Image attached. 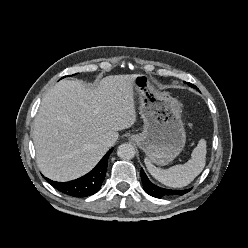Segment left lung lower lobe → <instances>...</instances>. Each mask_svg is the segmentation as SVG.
<instances>
[{
	"mask_svg": "<svg viewBox=\"0 0 248 248\" xmlns=\"http://www.w3.org/2000/svg\"><path fill=\"white\" fill-rule=\"evenodd\" d=\"M143 187L146 193L149 195L156 197V198H162L164 196H172V195H184L191 189L186 190H170V189H164L160 188L156 185H154L147 177L143 169L140 171Z\"/></svg>",
	"mask_w": 248,
	"mask_h": 248,
	"instance_id": "0a47b994",
	"label": "left lung lower lobe"
}]
</instances>
